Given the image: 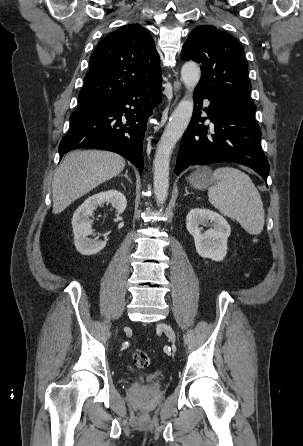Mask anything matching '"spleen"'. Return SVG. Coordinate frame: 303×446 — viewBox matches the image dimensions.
Instances as JSON below:
<instances>
[{
  "label": "spleen",
  "mask_w": 303,
  "mask_h": 446,
  "mask_svg": "<svg viewBox=\"0 0 303 446\" xmlns=\"http://www.w3.org/2000/svg\"><path fill=\"white\" fill-rule=\"evenodd\" d=\"M213 179L217 183L208 189L210 203L249 234H260L265 222L263 202L250 177L239 169L220 167Z\"/></svg>",
  "instance_id": "3e777b00"
}]
</instances>
